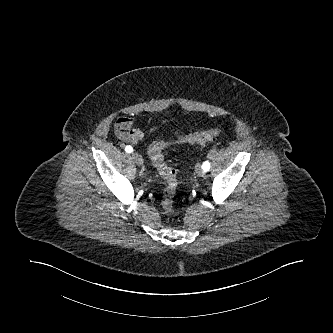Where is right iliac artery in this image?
<instances>
[{
    "instance_id": "1",
    "label": "right iliac artery",
    "mask_w": 333,
    "mask_h": 333,
    "mask_svg": "<svg viewBox=\"0 0 333 333\" xmlns=\"http://www.w3.org/2000/svg\"><path fill=\"white\" fill-rule=\"evenodd\" d=\"M125 151L127 153H131L133 151V148L130 145H128V146L125 147Z\"/></svg>"
}]
</instances>
